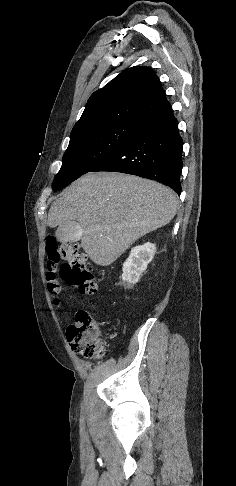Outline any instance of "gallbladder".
I'll return each mask as SVG.
<instances>
[{
    "label": "gallbladder",
    "instance_id": "obj_1",
    "mask_svg": "<svg viewBox=\"0 0 236 486\" xmlns=\"http://www.w3.org/2000/svg\"><path fill=\"white\" fill-rule=\"evenodd\" d=\"M81 228L78 222L71 221L60 225L56 230V238L62 243L75 242L79 240Z\"/></svg>",
    "mask_w": 236,
    "mask_h": 486
}]
</instances>
